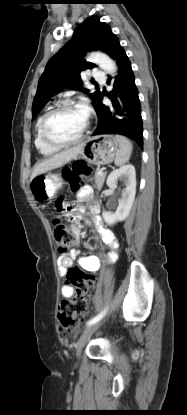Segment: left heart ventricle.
<instances>
[{
    "label": "left heart ventricle",
    "instance_id": "1",
    "mask_svg": "<svg viewBox=\"0 0 187 415\" xmlns=\"http://www.w3.org/2000/svg\"><path fill=\"white\" fill-rule=\"evenodd\" d=\"M86 118L78 108H64L55 113L48 123L49 135L57 140H71L83 130Z\"/></svg>",
    "mask_w": 187,
    "mask_h": 415
}]
</instances>
